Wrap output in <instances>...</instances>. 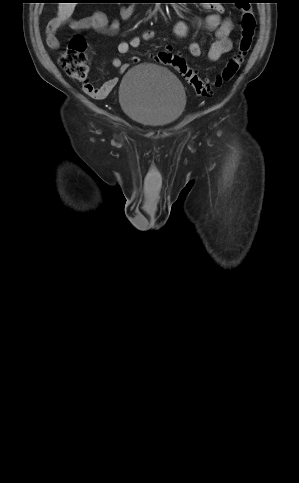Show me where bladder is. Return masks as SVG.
<instances>
[{
	"label": "bladder",
	"instance_id": "31cf9c89",
	"mask_svg": "<svg viewBox=\"0 0 299 483\" xmlns=\"http://www.w3.org/2000/svg\"><path fill=\"white\" fill-rule=\"evenodd\" d=\"M119 103L133 120L149 127H164L179 120L187 98L181 81L172 72L152 63H141L123 76Z\"/></svg>",
	"mask_w": 299,
	"mask_h": 483
}]
</instances>
